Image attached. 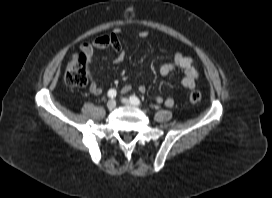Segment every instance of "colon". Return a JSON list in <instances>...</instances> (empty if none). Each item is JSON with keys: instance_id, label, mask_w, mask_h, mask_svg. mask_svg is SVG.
<instances>
[{"instance_id": "obj_1", "label": "colon", "mask_w": 272, "mask_h": 198, "mask_svg": "<svg viewBox=\"0 0 272 198\" xmlns=\"http://www.w3.org/2000/svg\"><path fill=\"white\" fill-rule=\"evenodd\" d=\"M64 80L67 86L78 88L83 87L88 82L87 57L84 53H75L69 61ZM201 94L193 91L189 95V101L193 104L199 103Z\"/></svg>"}]
</instances>
